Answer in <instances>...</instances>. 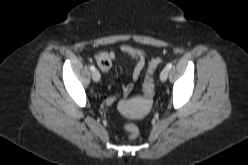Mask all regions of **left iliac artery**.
I'll use <instances>...</instances> for the list:
<instances>
[{"label": "left iliac artery", "mask_w": 248, "mask_h": 165, "mask_svg": "<svg viewBox=\"0 0 248 165\" xmlns=\"http://www.w3.org/2000/svg\"><path fill=\"white\" fill-rule=\"evenodd\" d=\"M166 68L170 70L172 68V63L167 64Z\"/></svg>", "instance_id": "obj_1"}]
</instances>
